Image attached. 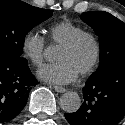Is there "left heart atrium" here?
Listing matches in <instances>:
<instances>
[{"mask_svg": "<svg viewBox=\"0 0 125 125\" xmlns=\"http://www.w3.org/2000/svg\"><path fill=\"white\" fill-rule=\"evenodd\" d=\"M39 78L55 84H68L73 82L78 72L64 60L44 65L38 71Z\"/></svg>", "mask_w": 125, "mask_h": 125, "instance_id": "1", "label": "left heart atrium"}]
</instances>
